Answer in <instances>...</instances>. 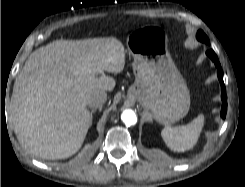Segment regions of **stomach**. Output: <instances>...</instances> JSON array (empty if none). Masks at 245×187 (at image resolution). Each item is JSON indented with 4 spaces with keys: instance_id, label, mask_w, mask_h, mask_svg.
Returning a JSON list of instances; mask_svg holds the SVG:
<instances>
[{
    "instance_id": "obj_1",
    "label": "stomach",
    "mask_w": 245,
    "mask_h": 187,
    "mask_svg": "<svg viewBox=\"0 0 245 187\" xmlns=\"http://www.w3.org/2000/svg\"><path fill=\"white\" fill-rule=\"evenodd\" d=\"M126 45L135 74L129 97L161 124L183 118L190 108V94L168 53L166 31L157 25L142 27L128 36Z\"/></svg>"
}]
</instances>
